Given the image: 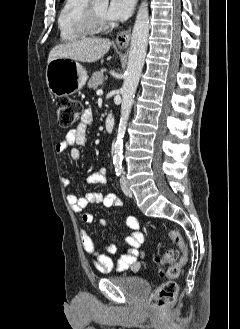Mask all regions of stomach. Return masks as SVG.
<instances>
[{"label":"stomach","mask_w":240,"mask_h":329,"mask_svg":"<svg viewBox=\"0 0 240 329\" xmlns=\"http://www.w3.org/2000/svg\"><path fill=\"white\" fill-rule=\"evenodd\" d=\"M87 78L86 70L69 58H56L49 62L46 68L48 89L56 97L76 93L85 85Z\"/></svg>","instance_id":"obj_1"}]
</instances>
